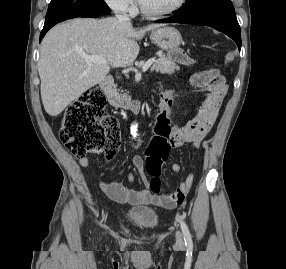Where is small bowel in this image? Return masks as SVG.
Segmentation results:
<instances>
[{"instance_id": "c3829d8e", "label": "small bowel", "mask_w": 286, "mask_h": 269, "mask_svg": "<svg viewBox=\"0 0 286 269\" xmlns=\"http://www.w3.org/2000/svg\"><path fill=\"white\" fill-rule=\"evenodd\" d=\"M193 83V81H192ZM206 100V99H205ZM172 105V92L164 90L162 92V99L159 105V111H169ZM204 100L196 107L193 117L189 120L188 124L183 128H170V139L173 143V148H179L186 144H190L194 149L201 146L203 138L212 130L219 114V110H202ZM161 135V134H160ZM195 155V152H194ZM82 167L89 166V160L84 157L80 159ZM133 165L135 170L140 175L142 183L145 185L144 189H133L118 182L108 181L101 177L99 181L100 188L113 200L122 203L133 204H152L155 206L164 207L167 209H174L182 205L181 194L189 191L194 176L189 173L180 187L165 195L152 194L148 186V179L145 174V160L142 156L136 155L133 158ZM171 169L174 172L181 171V165L178 163L171 164ZM131 182L134 175L131 173L128 176Z\"/></svg>"}]
</instances>
